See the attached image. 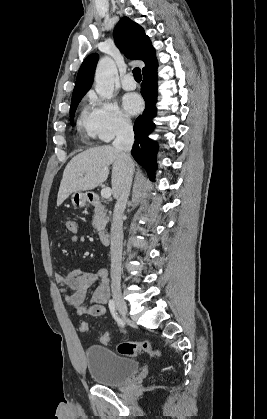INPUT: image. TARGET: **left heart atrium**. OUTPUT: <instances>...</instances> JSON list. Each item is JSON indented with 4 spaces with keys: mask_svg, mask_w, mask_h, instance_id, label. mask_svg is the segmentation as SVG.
<instances>
[{
    "mask_svg": "<svg viewBox=\"0 0 267 419\" xmlns=\"http://www.w3.org/2000/svg\"><path fill=\"white\" fill-rule=\"evenodd\" d=\"M122 102L126 112L131 115L138 114L143 107L142 99L136 93H128L124 95Z\"/></svg>",
    "mask_w": 267,
    "mask_h": 419,
    "instance_id": "left-heart-atrium-1",
    "label": "left heart atrium"
}]
</instances>
